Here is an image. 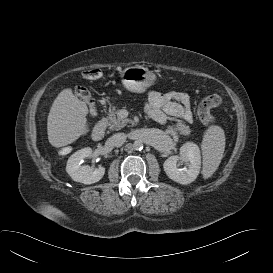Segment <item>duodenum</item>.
Returning <instances> with one entry per match:
<instances>
[{
  "label": "duodenum",
  "instance_id": "obj_1",
  "mask_svg": "<svg viewBox=\"0 0 273 273\" xmlns=\"http://www.w3.org/2000/svg\"><path fill=\"white\" fill-rule=\"evenodd\" d=\"M106 128H107L106 121L104 119H100L93 129V132H92L93 140L94 141L101 140L105 134Z\"/></svg>",
  "mask_w": 273,
  "mask_h": 273
}]
</instances>
